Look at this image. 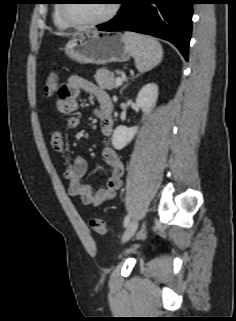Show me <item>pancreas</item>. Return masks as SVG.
Wrapping results in <instances>:
<instances>
[{
    "label": "pancreas",
    "instance_id": "cf45deb5",
    "mask_svg": "<svg viewBox=\"0 0 236 321\" xmlns=\"http://www.w3.org/2000/svg\"><path fill=\"white\" fill-rule=\"evenodd\" d=\"M94 78L97 84L103 89L111 90L116 87L114 73L110 72L106 68L99 69Z\"/></svg>",
    "mask_w": 236,
    "mask_h": 321
}]
</instances>
